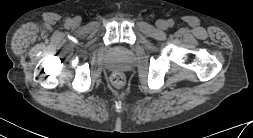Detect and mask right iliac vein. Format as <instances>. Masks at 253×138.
I'll return each mask as SVG.
<instances>
[{"label":"right iliac vein","mask_w":253,"mask_h":138,"mask_svg":"<svg viewBox=\"0 0 253 138\" xmlns=\"http://www.w3.org/2000/svg\"><path fill=\"white\" fill-rule=\"evenodd\" d=\"M71 23H72V25L77 26L78 23H79V20L78 19H74V20L71 21Z\"/></svg>","instance_id":"right-iliac-vein-1"}]
</instances>
